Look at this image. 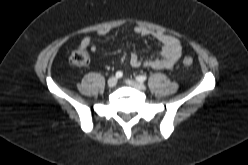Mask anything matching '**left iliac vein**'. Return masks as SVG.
I'll return each instance as SVG.
<instances>
[{
	"instance_id": "left-iliac-vein-1",
	"label": "left iliac vein",
	"mask_w": 248,
	"mask_h": 165,
	"mask_svg": "<svg viewBox=\"0 0 248 165\" xmlns=\"http://www.w3.org/2000/svg\"><path fill=\"white\" fill-rule=\"evenodd\" d=\"M126 84H128L129 86L139 90V91H144L146 89L145 85L140 83V82H137V81H134V80H131V79H126L125 80Z\"/></svg>"
}]
</instances>
